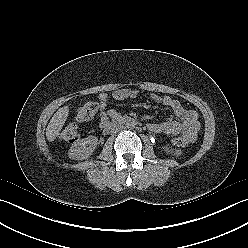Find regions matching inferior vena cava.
<instances>
[{
	"instance_id": "602c4592",
	"label": "inferior vena cava",
	"mask_w": 248,
	"mask_h": 248,
	"mask_svg": "<svg viewBox=\"0 0 248 248\" xmlns=\"http://www.w3.org/2000/svg\"><path fill=\"white\" fill-rule=\"evenodd\" d=\"M121 128L120 127H118V128H116V131H119Z\"/></svg>"
}]
</instances>
